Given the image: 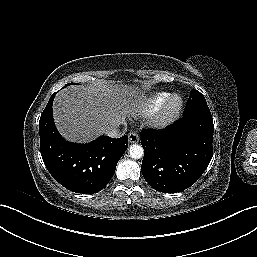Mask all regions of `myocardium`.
I'll list each match as a JSON object with an SVG mask.
<instances>
[{"label": "myocardium", "mask_w": 257, "mask_h": 257, "mask_svg": "<svg viewBox=\"0 0 257 257\" xmlns=\"http://www.w3.org/2000/svg\"><path fill=\"white\" fill-rule=\"evenodd\" d=\"M183 104V99L180 95H170L151 117V124L157 129H166L172 126L180 117Z\"/></svg>", "instance_id": "myocardium-1"}]
</instances>
